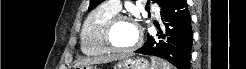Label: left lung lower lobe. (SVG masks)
Here are the masks:
<instances>
[{
    "label": "left lung lower lobe",
    "mask_w": 246,
    "mask_h": 69,
    "mask_svg": "<svg viewBox=\"0 0 246 69\" xmlns=\"http://www.w3.org/2000/svg\"><path fill=\"white\" fill-rule=\"evenodd\" d=\"M164 26L149 35L136 53L163 58L177 69H190L192 28L186 0H169L160 11Z\"/></svg>",
    "instance_id": "0a47b994"
}]
</instances>
